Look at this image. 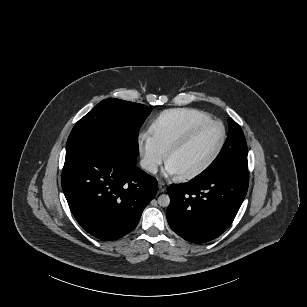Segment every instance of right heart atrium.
I'll return each mask as SVG.
<instances>
[{
    "instance_id": "right-heart-atrium-1",
    "label": "right heart atrium",
    "mask_w": 307,
    "mask_h": 307,
    "mask_svg": "<svg viewBox=\"0 0 307 307\" xmlns=\"http://www.w3.org/2000/svg\"><path fill=\"white\" fill-rule=\"evenodd\" d=\"M137 147L144 169L151 174L156 173L164 161V152L152 138L143 133L138 136Z\"/></svg>"
}]
</instances>
